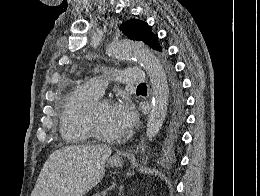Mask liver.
Listing matches in <instances>:
<instances>
[{"mask_svg": "<svg viewBox=\"0 0 260 196\" xmlns=\"http://www.w3.org/2000/svg\"><path fill=\"white\" fill-rule=\"evenodd\" d=\"M110 146H67L46 160L31 196H85L105 174Z\"/></svg>", "mask_w": 260, "mask_h": 196, "instance_id": "obj_1", "label": "liver"}]
</instances>
